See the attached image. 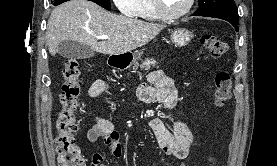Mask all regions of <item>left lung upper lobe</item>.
Returning <instances> with one entry per match:
<instances>
[{"mask_svg":"<svg viewBox=\"0 0 277 166\" xmlns=\"http://www.w3.org/2000/svg\"><path fill=\"white\" fill-rule=\"evenodd\" d=\"M196 16L215 17L238 23L239 16L234 0H198Z\"/></svg>","mask_w":277,"mask_h":166,"instance_id":"5c2ea615","label":"left lung upper lobe"}]
</instances>
